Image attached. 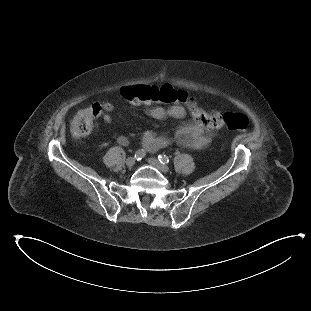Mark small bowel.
<instances>
[{"instance_id":"c3829d8e","label":"small bowel","mask_w":311,"mask_h":311,"mask_svg":"<svg viewBox=\"0 0 311 311\" xmlns=\"http://www.w3.org/2000/svg\"><path fill=\"white\" fill-rule=\"evenodd\" d=\"M105 113L103 120L107 124L112 123V118L109 115L114 111L115 105L112 102L103 104ZM146 114L153 119L164 120L167 118L183 119L186 116V110L181 105H173L169 108L149 105L146 107ZM211 140V135L207 134L204 127L199 123H189L181 127L174 137L158 136L155 133L148 131L142 137V145L148 152H155L163 147L168 146L172 141L191 149H202ZM118 142L126 146L128 139L124 136L118 138Z\"/></svg>"}]
</instances>
